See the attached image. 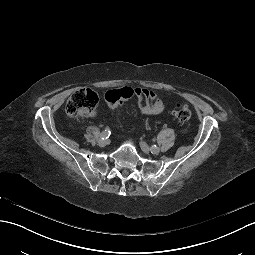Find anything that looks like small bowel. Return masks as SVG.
<instances>
[{
    "instance_id": "1",
    "label": "small bowel",
    "mask_w": 255,
    "mask_h": 255,
    "mask_svg": "<svg viewBox=\"0 0 255 255\" xmlns=\"http://www.w3.org/2000/svg\"><path fill=\"white\" fill-rule=\"evenodd\" d=\"M136 95L139 98V113L141 115H157L164 111L166 104L162 96L155 91L146 88H136ZM87 117H96L95 112L86 115Z\"/></svg>"
}]
</instances>
